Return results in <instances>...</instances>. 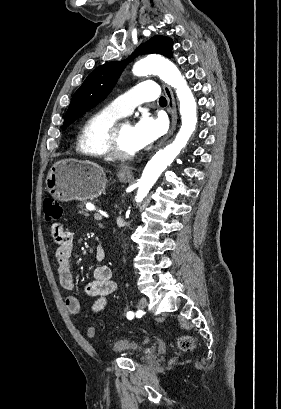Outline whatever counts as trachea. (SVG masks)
I'll use <instances>...</instances> for the list:
<instances>
[{
	"label": "trachea",
	"instance_id": "obj_1",
	"mask_svg": "<svg viewBox=\"0 0 281 409\" xmlns=\"http://www.w3.org/2000/svg\"><path fill=\"white\" fill-rule=\"evenodd\" d=\"M159 103H160V104H167L166 98H165V97H160Z\"/></svg>",
	"mask_w": 281,
	"mask_h": 409
}]
</instances>
